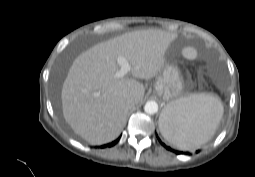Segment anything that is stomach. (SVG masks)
I'll return each mask as SVG.
<instances>
[{"label": "stomach", "mask_w": 255, "mask_h": 177, "mask_svg": "<svg viewBox=\"0 0 255 177\" xmlns=\"http://www.w3.org/2000/svg\"><path fill=\"white\" fill-rule=\"evenodd\" d=\"M183 79L181 77L179 69L172 65L166 64L159 76L157 77L154 85V91L157 95L161 96L165 101L171 102L179 99L183 93ZM165 107L163 112H166ZM163 123V119L159 120V124Z\"/></svg>", "instance_id": "stomach-1"}]
</instances>
